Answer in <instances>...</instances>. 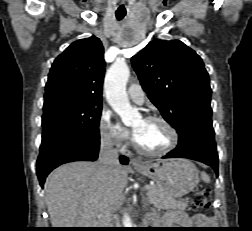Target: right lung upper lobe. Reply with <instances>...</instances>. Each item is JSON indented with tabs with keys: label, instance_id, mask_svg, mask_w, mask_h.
I'll return each instance as SVG.
<instances>
[{
	"label": "right lung upper lobe",
	"instance_id": "1",
	"mask_svg": "<svg viewBox=\"0 0 252 231\" xmlns=\"http://www.w3.org/2000/svg\"><path fill=\"white\" fill-rule=\"evenodd\" d=\"M105 62L104 48L95 37L73 42L52 64L44 98L70 95L102 101Z\"/></svg>",
	"mask_w": 252,
	"mask_h": 231
}]
</instances>
